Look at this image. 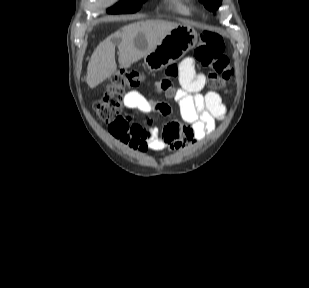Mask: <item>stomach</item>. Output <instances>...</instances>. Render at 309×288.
Wrapping results in <instances>:
<instances>
[{
	"label": "stomach",
	"instance_id": "obj_1",
	"mask_svg": "<svg viewBox=\"0 0 309 288\" xmlns=\"http://www.w3.org/2000/svg\"><path fill=\"white\" fill-rule=\"evenodd\" d=\"M197 40L198 34L192 26L179 24L144 56V63L150 71L161 70L182 58L196 45Z\"/></svg>",
	"mask_w": 309,
	"mask_h": 288
}]
</instances>
